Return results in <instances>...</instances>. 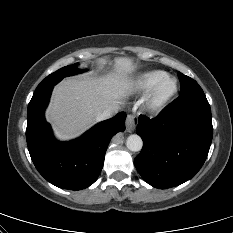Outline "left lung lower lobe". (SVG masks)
<instances>
[{
	"mask_svg": "<svg viewBox=\"0 0 233 233\" xmlns=\"http://www.w3.org/2000/svg\"><path fill=\"white\" fill-rule=\"evenodd\" d=\"M136 133L143 148L134 165L148 184L167 189L190 180L204 164L212 141L205 94H182L153 119L140 115Z\"/></svg>",
	"mask_w": 233,
	"mask_h": 233,
	"instance_id": "0a47b994",
	"label": "left lung lower lobe"
}]
</instances>
